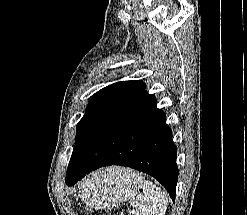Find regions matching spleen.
Returning a JSON list of instances; mask_svg holds the SVG:
<instances>
[{"mask_svg":"<svg viewBox=\"0 0 247 215\" xmlns=\"http://www.w3.org/2000/svg\"><path fill=\"white\" fill-rule=\"evenodd\" d=\"M130 173V171H127ZM143 186V195L134 194L128 197L133 206L134 215H165L168 195L165 190L154 185L151 181L143 182L138 176Z\"/></svg>","mask_w":247,"mask_h":215,"instance_id":"spleen-1","label":"spleen"}]
</instances>
